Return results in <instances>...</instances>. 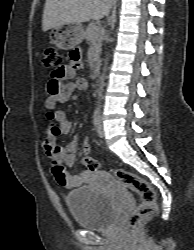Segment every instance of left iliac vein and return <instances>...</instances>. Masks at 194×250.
<instances>
[{
	"label": "left iliac vein",
	"instance_id": "4c4485c4",
	"mask_svg": "<svg viewBox=\"0 0 194 250\" xmlns=\"http://www.w3.org/2000/svg\"><path fill=\"white\" fill-rule=\"evenodd\" d=\"M97 134L99 137H103L104 136V128H103V123H102V118L100 119L98 128H97Z\"/></svg>",
	"mask_w": 194,
	"mask_h": 250
}]
</instances>
